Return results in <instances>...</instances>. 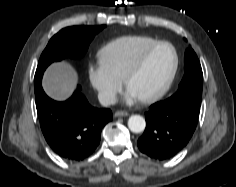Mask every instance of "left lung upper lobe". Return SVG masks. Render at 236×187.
Segmentation results:
<instances>
[{
    "instance_id": "left-lung-upper-lobe-1",
    "label": "left lung upper lobe",
    "mask_w": 236,
    "mask_h": 187,
    "mask_svg": "<svg viewBox=\"0 0 236 187\" xmlns=\"http://www.w3.org/2000/svg\"><path fill=\"white\" fill-rule=\"evenodd\" d=\"M184 70L185 74L179 84L178 91L165 102L174 104L179 101H185L200 107L203 73L198 57L192 48H188L185 51Z\"/></svg>"
}]
</instances>
